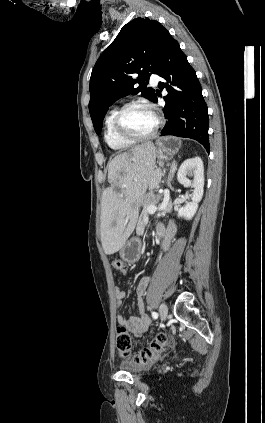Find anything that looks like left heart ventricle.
Returning <instances> with one entry per match:
<instances>
[{
  "label": "left heart ventricle",
  "instance_id": "1",
  "mask_svg": "<svg viewBox=\"0 0 265 423\" xmlns=\"http://www.w3.org/2000/svg\"><path fill=\"white\" fill-rule=\"evenodd\" d=\"M155 123L153 113L142 107L132 108L123 119L125 129L136 136L148 134L154 128Z\"/></svg>",
  "mask_w": 265,
  "mask_h": 423
}]
</instances>
